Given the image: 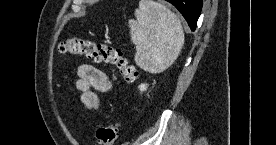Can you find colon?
<instances>
[{"label": "colon", "mask_w": 276, "mask_h": 145, "mask_svg": "<svg viewBox=\"0 0 276 145\" xmlns=\"http://www.w3.org/2000/svg\"><path fill=\"white\" fill-rule=\"evenodd\" d=\"M59 51L63 54L85 56L93 59L96 63L114 65L122 78L128 82L134 81L137 77L136 67L124 56L123 52L107 44L73 37L61 42ZM119 132L120 125L117 122L100 126L96 132L98 144L114 145L119 137Z\"/></svg>", "instance_id": "5ec220e1"}]
</instances>
